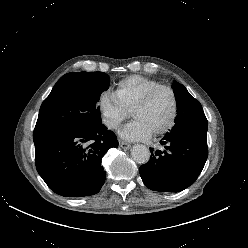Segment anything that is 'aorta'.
Masks as SVG:
<instances>
[{
  "label": "aorta",
  "mask_w": 248,
  "mask_h": 248,
  "mask_svg": "<svg viewBox=\"0 0 248 248\" xmlns=\"http://www.w3.org/2000/svg\"><path fill=\"white\" fill-rule=\"evenodd\" d=\"M131 156L135 162L145 164L150 159V151L145 145L136 144L131 149Z\"/></svg>",
  "instance_id": "aorta-1"
}]
</instances>
